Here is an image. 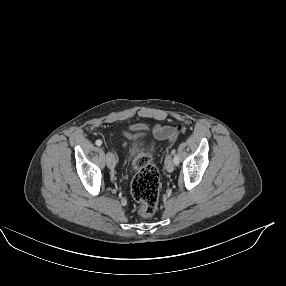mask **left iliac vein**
<instances>
[{
	"mask_svg": "<svg viewBox=\"0 0 286 286\" xmlns=\"http://www.w3.org/2000/svg\"><path fill=\"white\" fill-rule=\"evenodd\" d=\"M165 169L168 172H173V170H174V163H173L172 157L170 155H168L165 159Z\"/></svg>",
	"mask_w": 286,
	"mask_h": 286,
	"instance_id": "left-iliac-vein-1",
	"label": "left iliac vein"
}]
</instances>
